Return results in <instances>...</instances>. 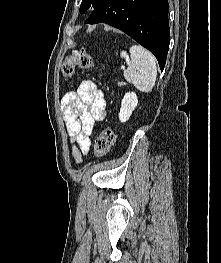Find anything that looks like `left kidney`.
<instances>
[{"label": "left kidney", "instance_id": "obj_1", "mask_svg": "<svg viewBox=\"0 0 221 263\" xmlns=\"http://www.w3.org/2000/svg\"><path fill=\"white\" fill-rule=\"evenodd\" d=\"M137 104L138 98L136 94L134 92L126 93L121 102L119 120L121 122H126L130 118L132 112L135 110Z\"/></svg>", "mask_w": 221, "mask_h": 263}]
</instances>
